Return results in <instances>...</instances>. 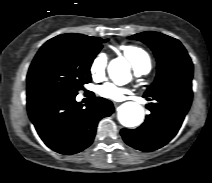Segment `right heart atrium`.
Masks as SVG:
<instances>
[{
  "label": "right heart atrium",
  "mask_w": 212,
  "mask_h": 183,
  "mask_svg": "<svg viewBox=\"0 0 212 183\" xmlns=\"http://www.w3.org/2000/svg\"><path fill=\"white\" fill-rule=\"evenodd\" d=\"M107 65V56L104 53H99L92 60L89 71L94 80H100L104 74Z\"/></svg>",
  "instance_id": "d8ad5b80"
}]
</instances>
